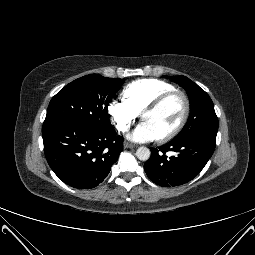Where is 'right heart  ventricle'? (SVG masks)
Returning a JSON list of instances; mask_svg holds the SVG:
<instances>
[{
	"mask_svg": "<svg viewBox=\"0 0 255 255\" xmlns=\"http://www.w3.org/2000/svg\"><path fill=\"white\" fill-rule=\"evenodd\" d=\"M175 87L158 79H141L130 83L122 92L124 101L140 114L155 98L161 94L174 90Z\"/></svg>",
	"mask_w": 255,
	"mask_h": 255,
	"instance_id": "obj_1",
	"label": "right heart ventricle"
}]
</instances>
